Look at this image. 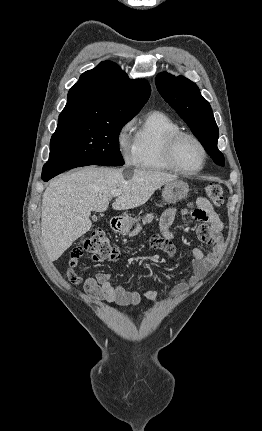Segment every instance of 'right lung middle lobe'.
Returning a JSON list of instances; mask_svg holds the SVG:
<instances>
[{
  "label": "right lung middle lobe",
  "mask_w": 262,
  "mask_h": 431,
  "mask_svg": "<svg viewBox=\"0 0 262 431\" xmlns=\"http://www.w3.org/2000/svg\"><path fill=\"white\" fill-rule=\"evenodd\" d=\"M131 118L109 121L80 120L57 126L47 164L67 162L121 166L119 133Z\"/></svg>",
  "instance_id": "1"
}]
</instances>
